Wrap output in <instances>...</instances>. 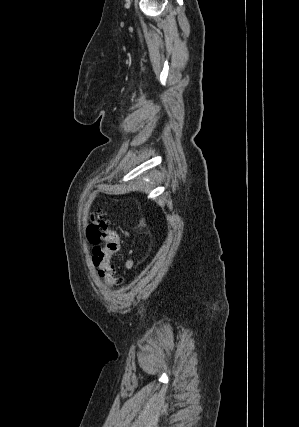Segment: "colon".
<instances>
[{
	"instance_id": "colon-1",
	"label": "colon",
	"mask_w": 299,
	"mask_h": 427,
	"mask_svg": "<svg viewBox=\"0 0 299 427\" xmlns=\"http://www.w3.org/2000/svg\"><path fill=\"white\" fill-rule=\"evenodd\" d=\"M86 236L93 245V263L98 268L99 276L109 286L121 287L123 280L115 277V268L111 258L120 250V235L111 228L110 222L103 218L101 211H95L90 216V224ZM103 243V246L101 244Z\"/></svg>"
}]
</instances>
